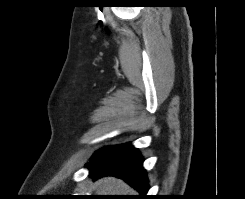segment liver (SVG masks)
<instances>
[{
    "label": "liver",
    "mask_w": 245,
    "mask_h": 199,
    "mask_svg": "<svg viewBox=\"0 0 245 199\" xmlns=\"http://www.w3.org/2000/svg\"><path fill=\"white\" fill-rule=\"evenodd\" d=\"M94 187L98 195H128V193H134L126 183L113 177L98 180Z\"/></svg>",
    "instance_id": "6515ba94"
}]
</instances>
